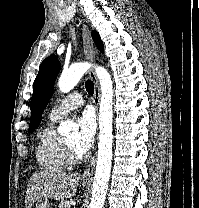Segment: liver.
<instances>
[{"mask_svg":"<svg viewBox=\"0 0 199 208\" xmlns=\"http://www.w3.org/2000/svg\"><path fill=\"white\" fill-rule=\"evenodd\" d=\"M80 175L62 171L43 170L33 173L25 197V208L41 199L66 200L72 198L79 185Z\"/></svg>","mask_w":199,"mask_h":208,"instance_id":"6515ba94","label":"liver"}]
</instances>
